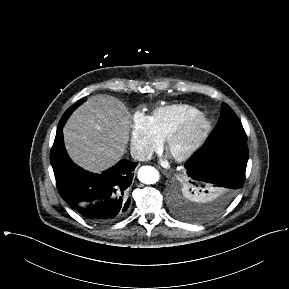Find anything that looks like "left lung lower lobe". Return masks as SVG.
Here are the masks:
<instances>
[{
	"mask_svg": "<svg viewBox=\"0 0 289 289\" xmlns=\"http://www.w3.org/2000/svg\"><path fill=\"white\" fill-rule=\"evenodd\" d=\"M247 161L246 141L203 146L185 164L182 184L211 193L213 210L220 213L243 185Z\"/></svg>",
	"mask_w": 289,
	"mask_h": 289,
	"instance_id": "obj_1",
	"label": "left lung lower lobe"
}]
</instances>
